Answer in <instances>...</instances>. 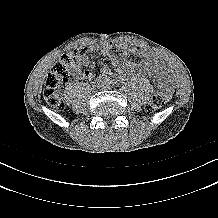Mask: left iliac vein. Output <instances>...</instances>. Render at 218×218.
Masks as SVG:
<instances>
[{
  "label": "left iliac vein",
  "mask_w": 218,
  "mask_h": 218,
  "mask_svg": "<svg viewBox=\"0 0 218 218\" xmlns=\"http://www.w3.org/2000/svg\"><path fill=\"white\" fill-rule=\"evenodd\" d=\"M104 87H105V88H109L108 84H106Z\"/></svg>",
  "instance_id": "4c4485c4"
}]
</instances>
